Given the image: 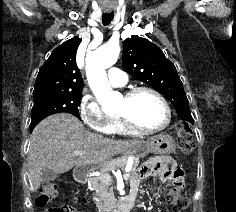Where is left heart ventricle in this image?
<instances>
[{
    "mask_svg": "<svg viewBox=\"0 0 236 212\" xmlns=\"http://www.w3.org/2000/svg\"><path fill=\"white\" fill-rule=\"evenodd\" d=\"M130 113L133 120L142 128L152 129L164 124L166 110L161 101L150 93H140L131 102L122 98L117 114Z\"/></svg>",
    "mask_w": 236,
    "mask_h": 212,
    "instance_id": "left-heart-ventricle-1",
    "label": "left heart ventricle"
}]
</instances>
